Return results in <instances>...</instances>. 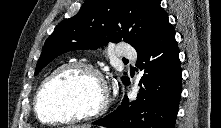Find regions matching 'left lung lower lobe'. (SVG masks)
I'll use <instances>...</instances> for the list:
<instances>
[{
    "label": "left lung lower lobe",
    "mask_w": 221,
    "mask_h": 128,
    "mask_svg": "<svg viewBox=\"0 0 221 128\" xmlns=\"http://www.w3.org/2000/svg\"><path fill=\"white\" fill-rule=\"evenodd\" d=\"M135 49L136 66L144 71L137 99L129 101L125 96L114 112L93 124L107 128H174L182 77L179 48L168 15ZM125 85H129V80Z\"/></svg>",
    "instance_id": "0a47b994"
}]
</instances>
